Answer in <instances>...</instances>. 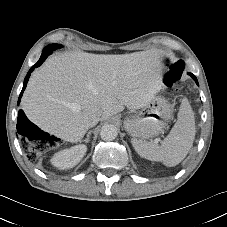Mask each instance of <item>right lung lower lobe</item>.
Masks as SVG:
<instances>
[{"instance_id": "right-lung-lower-lobe-1", "label": "right lung lower lobe", "mask_w": 227, "mask_h": 227, "mask_svg": "<svg viewBox=\"0 0 227 227\" xmlns=\"http://www.w3.org/2000/svg\"><path fill=\"white\" fill-rule=\"evenodd\" d=\"M54 51L53 47L52 46H47L43 52H42V55L39 59V61L33 65L31 67V69L29 70V72L27 73V76L25 77L24 79V84H23V89L20 93V96H19V100H18V103L20 102V99L22 97V94L26 88V85H27V82L29 80V77H30V74L32 73V71L39 67L44 61L45 59ZM28 126H35L34 124H32L28 119L27 117L25 116L24 112L22 110H19V113H18V120H17V130L18 132H23L25 131V129L28 127ZM36 127V126H35Z\"/></svg>"}]
</instances>
